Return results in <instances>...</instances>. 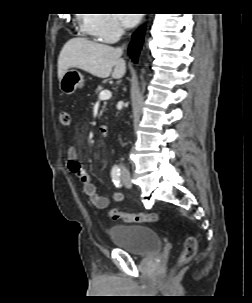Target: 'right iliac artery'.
I'll return each mask as SVG.
<instances>
[{
  "label": "right iliac artery",
  "instance_id": "82829eb1",
  "mask_svg": "<svg viewBox=\"0 0 252 303\" xmlns=\"http://www.w3.org/2000/svg\"><path fill=\"white\" fill-rule=\"evenodd\" d=\"M120 175H121L120 169L117 166H114L111 170V177L116 187H121Z\"/></svg>",
  "mask_w": 252,
  "mask_h": 303
}]
</instances>
